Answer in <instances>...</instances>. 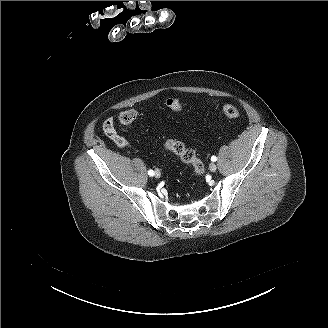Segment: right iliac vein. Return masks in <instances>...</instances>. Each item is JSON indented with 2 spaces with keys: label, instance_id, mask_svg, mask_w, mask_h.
<instances>
[{
  "label": "right iliac vein",
  "instance_id": "1",
  "mask_svg": "<svg viewBox=\"0 0 328 328\" xmlns=\"http://www.w3.org/2000/svg\"><path fill=\"white\" fill-rule=\"evenodd\" d=\"M160 176H161V173L158 170H156L155 177L160 178Z\"/></svg>",
  "mask_w": 328,
  "mask_h": 328
}]
</instances>
